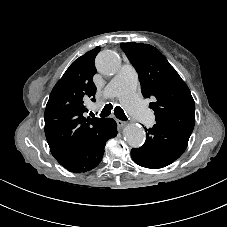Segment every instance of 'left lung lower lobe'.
Returning a JSON list of instances; mask_svg holds the SVG:
<instances>
[{
  "mask_svg": "<svg viewBox=\"0 0 227 227\" xmlns=\"http://www.w3.org/2000/svg\"><path fill=\"white\" fill-rule=\"evenodd\" d=\"M147 131L146 141L131 150L133 161L139 166L159 169L170 165L185 151L190 136L156 123Z\"/></svg>",
  "mask_w": 227,
  "mask_h": 227,
  "instance_id": "obj_1",
  "label": "left lung lower lobe"
}]
</instances>
